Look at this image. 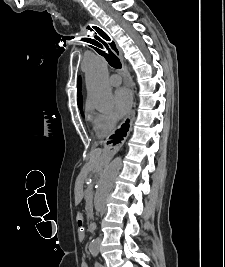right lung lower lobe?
<instances>
[{
  "label": "right lung lower lobe",
  "instance_id": "1",
  "mask_svg": "<svg viewBox=\"0 0 225 267\" xmlns=\"http://www.w3.org/2000/svg\"><path fill=\"white\" fill-rule=\"evenodd\" d=\"M119 131V130H118ZM118 131L116 132V134L115 135H113L111 138H113L115 141L114 142H116L118 139L115 137V136H117V134H118Z\"/></svg>",
  "mask_w": 225,
  "mask_h": 267
}]
</instances>
